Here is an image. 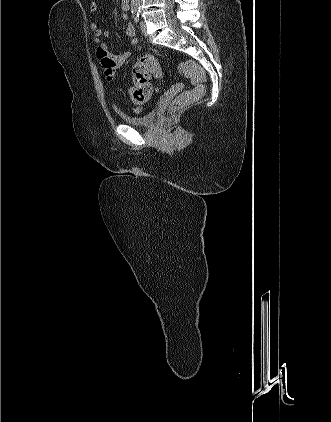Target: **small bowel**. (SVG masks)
<instances>
[{
	"label": "small bowel",
	"mask_w": 331,
	"mask_h": 422,
	"mask_svg": "<svg viewBox=\"0 0 331 422\" xmlns=\"http://www.w3.org/2000/svg\"><path fill=\"white\" fill-rule=\"evenodd\" d=\"M98 8L97 2L93 0L90 3V11L96 12ZM121 9L126 12L128 9L124 7L121 1ZM123 20L127 19V15L124 13L121 15ZM91 31L94 35V43L96 46V55L99 59L103 74L108 81L114 78L116 69L122 66L131 56L134 50L139 46V39L134 38L135 28L131 23H128L125 28V35L132 38L130 41L131 49L121 54H114L109 50V47L102 41L103 37H109L110 32L107 29L102 28L97 23H92Z\"/></svg>",
	"instance_id": "small-bowel-1"
}]
</instances>
